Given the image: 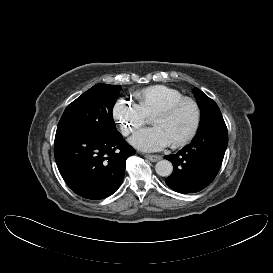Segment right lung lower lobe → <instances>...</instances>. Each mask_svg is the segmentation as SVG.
Segmentation results:
<instances>
[{"label": "right lung lower lobe", "mask_w": 273, "mask_h": 273, "mask_svg": "<svg viewBox=\"0 0 273 273\" xmlns=\"http://www.w3.org/2000/svg\"><path fill=\"white\" fill-rule=\"evenodd\" d=\"M135 150L120 133L55 138L56 164L66 184L87 199H104L121 185L126 159Z\"/></svg>", "instance_id": "obj_1"}]
</instances>
